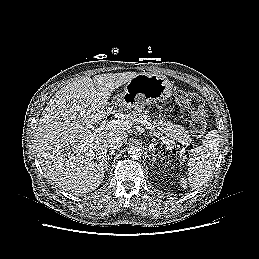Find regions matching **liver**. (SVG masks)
I'll return each instance as SVG.
<instances>
[{"instance_id": "1", "label": "liver", "mask_w": 259, "mask_h": 259, "mask_svg": "<svg viewBox=\"0 0 259 259\" xmlns=\"http://www.w3.org/2000/svg\"><path fill=\"white\" fill-rule=\"evenodd\" d=\"M138 73H108L83 77L60 90L45 107L35 132V150L47 177L73 193L95 190L104 178L107 139L127 133L109 129L92 133L88 128L115 111L108 102L115 89Z\"/></svg>"}]
</instances>
